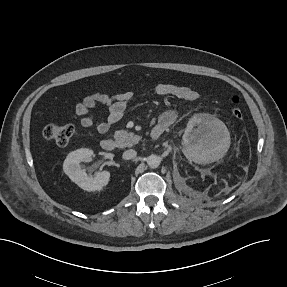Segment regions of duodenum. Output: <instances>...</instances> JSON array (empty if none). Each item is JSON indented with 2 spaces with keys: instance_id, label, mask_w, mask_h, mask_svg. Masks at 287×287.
Listing matches in <instances>:
<instances>
[{
  "instance_id": "obj_1",
  "label": "duodenum",
  "mask_w": 287,
  "mask_h": 287,
  "mask_svg": "<svg viewBox=\"0 0 287 287\" xmlns=\"http://www.w3.org/2000/svg\"><path fill=\"white\" fill-rule=\"evenodd\" d=\"M164 128L163 126L159 125V126H156V127H153L151 132H150V136L151 138L153 139H157L159 138L163 132H164ZM101 148L105 151H113L115 148H116V141L113 139V138H104L101 143Z\"/></svg>"
}]
</instances>
